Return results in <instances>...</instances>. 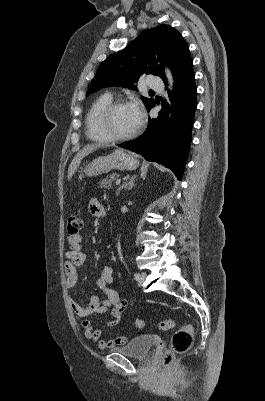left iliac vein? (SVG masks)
I'll return each mask as SVG.
<instances>
[{
  "label": "left iliac vein",
  "mask_w": 265,
  "mask_h": 401,
  "mask_svg": "<svg viewBox=\"0 0 265 401\" xmlns=\"http://www.w3.org/2000/svg\"><path fill=\"white\" fill-rule=\"evenodd\" d=\"M146 278V274L144 272L137 273V281L139 284L143 283Z\"/></svg>",
  "instance_id": "4c4485c4"
}]
</instances>
